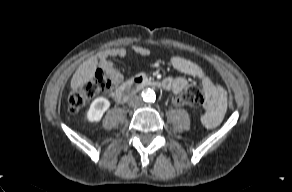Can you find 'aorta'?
I'll use <instances>...</instances> for the list:
<instances>
[{"label":"aorta","instance_id":"aorta-1","mask_svg":"<svg viewBox=\"0 0 292 192\" xmlns=\"http://www.w3.org/2000/svg\"><path fill=\"white\" fill-rule=\"evenodd\" d=\"M141 95L146 102H154L156 98L154 90L150 88L143 90Z\"/></svg>","mask_w":292,"mask_h":192}]
</instances>
